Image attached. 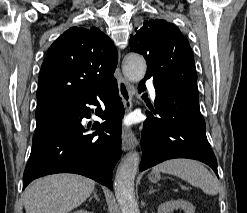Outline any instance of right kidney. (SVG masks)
I'll list each match as a JSON object with an SVG mask.
<instances>
[{
	"instance_id": "ca27d5eb",
	"label": "right kidney",
	"mask_w": 247,
	"mask_h": 213,
	"mask_svg": "<svg viewBox=\"0 0 247 213\" xmlns=\"http://www.w3.org/2000/svg\"><path fill=\"white\" fill-rule=\"evenodd\" d=\"M72 213H93V212H89V211H87V210H76V211H74V212H72Z\"/></svg>"
}]
</instances>
